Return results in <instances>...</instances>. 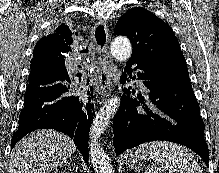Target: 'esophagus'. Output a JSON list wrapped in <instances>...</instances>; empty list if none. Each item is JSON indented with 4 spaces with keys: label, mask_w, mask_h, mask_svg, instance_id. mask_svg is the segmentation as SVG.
Masks as SVG:
<instances>
[{
    "label": "esophagus",
    "mask_w": 219,
    "mask_h": 173,
    "mask_svg": "<svg viewBox=\"0 0 219 173\" xmlns=\"http://www.w3.org/2000/svg\"><path fill=\"white\" fill-rule=\"evenodd\" d=\"M92 39L99 71L97 85L101 96L105 97L116 78V67L108 50V28L103 20L95 24Z\"/></svg>",
    "instance_id": "obj_1"
}]
</instances>
